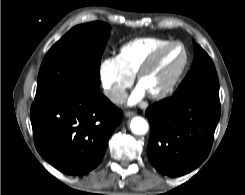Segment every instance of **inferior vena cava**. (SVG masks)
<instances>
[{"label":"inferior vena cava","mask_w":245,"mask_h":195,"mask_svg":"<svg viewBox=\"0 0 245 195\" xmlns=\"http://www.w3.org/2000/svg\"><path fill=\"white\" fill-rule=\"evenodd\" d=\"M106 95L111 101L117 104L125 103L128 97L124 90H108Z\"/></svg>","instance_id":"obj_1"}]
</instances>
